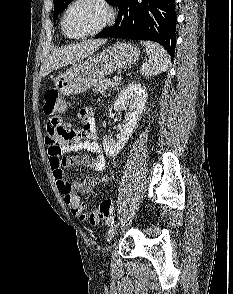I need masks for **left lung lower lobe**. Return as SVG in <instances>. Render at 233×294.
<instances>
[{
  "mask_svg": "<svg viewBox=\"0 0 233 294\" xmlns=\"http://www.w3.org/2000/svg\"><path fill=\"white\" fill-rule=\"evenodd\" d=\"M175 0H120L115 24L95 38L151 40L161 44L171 58L175 52Z\"/></svg>",
  "mask_w": 233,
  "mask_h": 294,
  "instance_id": "obj_1",
  "label": "left lung lower lobe"
}]
</instances>
